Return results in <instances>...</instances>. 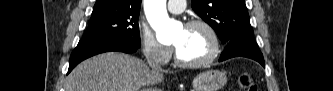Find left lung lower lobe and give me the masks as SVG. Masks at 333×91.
I'll return each mask as SVG.
<instances>
[{"label":"left lung lower lobe","instance_id":"1","mask_svg":"<svg viewBox=\"0 0 333 91\" xmlns=\"http://www.w3.org/2000/svg\"><path fill=\"white\" fill-rule=\"evenodd\" d=\"M233 57H247L258 61L265 67L263 55L259 50L253 35H244L231 39L226 43L219 61H224Z\"/></svg>","mask_w":333,"mask_h":91}]
</instances>
